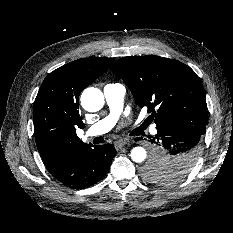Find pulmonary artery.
Segmentation results:
<instances>
[{
	"instance_id": "1",
	"label": "pulmonary artery",
	"mask_w": 233,
	"mask_h": 233,
	"mask_svg": "<svg viewBox=\"0 0 233 233\" xmlns=\"http://www.w3.org/2000/svg\"><path fill=\"white\" fill-rule=\"evenodd\" d=\"M125 92V87L119 83L107 84L103 88L109 114L87 129L85 132L87 137L105 134L114 127L123 109ZM156 131L153 126L151 132L156 133Z\"/></svg>"
}]
</instances>
